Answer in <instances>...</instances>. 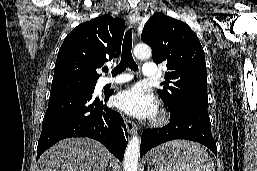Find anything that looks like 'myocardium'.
Returning <instances> with one entry per match:
<instances>
[{
	"label": "myocardium",
	"instance_id": "myocardium-1",
	"mask_svg": "<svg viewBox=\"0 0 257 171\" xmlns=\"http://www.w3.org/2000/svg\"><path fill=\"white\" fill-rule=\"evenodd\" d=\"M169 120V115L165 111H159L152 119V124L156 126L164 125Z\"/></svg>",
	"mask_w": 257,
	"mask_h": 171
}]
</instances>
